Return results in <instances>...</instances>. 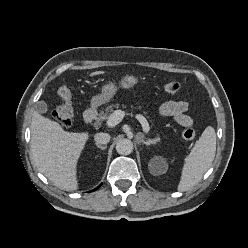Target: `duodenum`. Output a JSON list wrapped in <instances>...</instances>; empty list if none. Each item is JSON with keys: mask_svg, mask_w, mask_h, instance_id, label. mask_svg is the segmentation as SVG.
Here are the masks:
<instances>
[{"mask_svg": "<svg viewBox=\"0 0 248 248\" xmlns=\"http://www.w3.org/2000/svg\"><path fill=\"white\" fill-rule=\"evenodd\" d=\"M97 116H98V114H97L96 108L91 107V108L87 109L85 111L84 117H83L84 123L85 124H91V123L95 122L97 119Z\"/></svg>", "mask_w": 248, "mask_h": 248, "instance_id": "duodenum-1", "label": "duodenum"}]
</instances>
